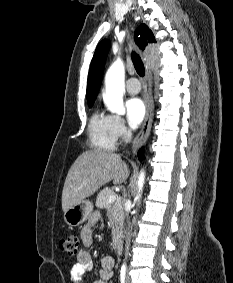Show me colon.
Listing matches in <instances>:
<instances>
[{"mask_svg": "<svg viewBox=\"0 0 233 283\" xmlns=\"http://www.w3.org/2000/svg\"><path fill=\"white\" fill-rule=\"evenodd\" d=\"M59 248L67 252L68 254L74 255L78 253L79 239L76 235L70 234L59 241Z\"/></svg>", "mask_w": 233, "mask_h": 283, "instance_id": "5ec220e1", "label": "colon"}]
</instances>
